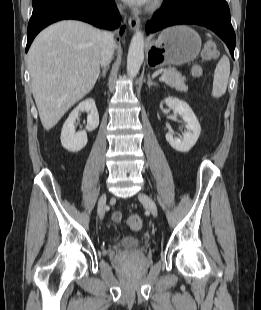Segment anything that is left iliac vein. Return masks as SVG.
Segmentation results:
<instances>
[{"label": "left iliac vein", "mask_w": 261, "mask_h": 310, "mask_svg": "<svg viewBox=\"0 0 261 310\" xmlns=\"http://www.w3.org/2000/svg\"><path fill=\"white\" fill-rule=\"evenodd\" d=\"M138 198L149 209L153 216H158L157 206L151 197L145 193H139Z\"/></svg>", "instance_id": "left-iliac-vein-1"}]
</instances>
